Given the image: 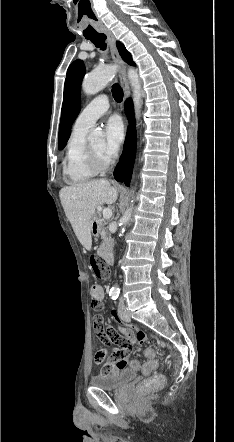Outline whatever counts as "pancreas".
Here are the masks:
<instances>
[{
  "instance_id": "cf45deb5",
  "label": "pancreas",
  "mask_w": 234,
  "mask_h": 442,
  "mask_svg": "<svg viewBox=\"0 0 234 442\" xmlns=\"http://www.w3.org/2000/svg\"><path fill=\"white\" fill-rule=\"evenodd\" d=\"M107 222L104 220H100V226H101V239H102V247H108L111 244V236L110 233L107 230Z\"/></svg>"
}]
</instances>
